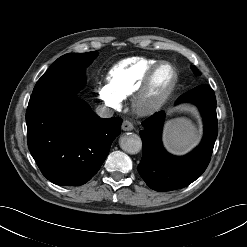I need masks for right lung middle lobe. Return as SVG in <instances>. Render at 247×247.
<instances>
[{"label": "right lung middle lobe", "mask_w": 247, "mask_h": 247, "mask_svg": "<svg viewBox=\"0 0 247 247\" xmlns=\"http://www.w3.org/2000/svg\"><path fill=\"white\" fill-rule=\"evenodd\" d=\"M97 56V51L68 53L61 56L37 81L30 100L75 96L85 83L84 69Z\"/></svg>", "instance_id": "1"}]
</instances>
